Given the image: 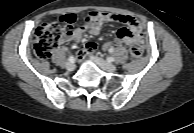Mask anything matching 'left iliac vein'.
<instances>
[{
	"label": "left iliac vein",
	"mask_w": 194,
	"mask_h": 133,
	"mask_svg": "<svg viewBox=\"0 0 194 133\" xmlns=\"http://www.w3.org/2000/svg\"><path fill=\"white\" fill-rule=\"evenodd\" d=\"M92 59L98 66L107 72H115L117 70V67L114 64H111L98 56H92Z\"/></svg>",
	"instance_id": "4c4485c4"
}]
</instances>
